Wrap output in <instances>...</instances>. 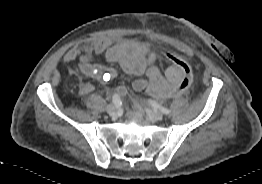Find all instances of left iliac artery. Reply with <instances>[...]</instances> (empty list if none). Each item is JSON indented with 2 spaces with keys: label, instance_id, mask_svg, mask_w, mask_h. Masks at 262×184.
Listing matches in <instances>:
<instances>
[{
  "label": "left iliac artery",
  "instance_id": "obj_1",
  "mask_svg": "<svg viewBox=\"0 0 262 184\" xmlns=\"http://www.w3.org/2000/svg\"><path fill=\"white\" fill-rule=\"evenodd\" d=\"M151 105L154 107V108H158L162 113H164L165 115H168L170 114V110L163 107V106H160L159 104H157L155 101H150Z\"/></svg>",
  "mask_w": 262,
  "mask_h": 184
}]
</instances>
